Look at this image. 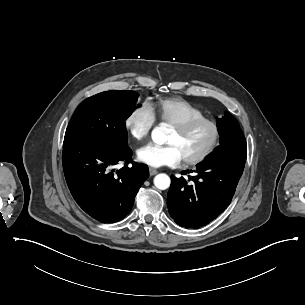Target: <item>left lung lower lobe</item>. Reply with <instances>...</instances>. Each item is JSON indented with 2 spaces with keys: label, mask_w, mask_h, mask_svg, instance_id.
<instances>
[{
  "label": "left lung lower lobe",
  "mask_w": 305,
  "mask_h": 305,
  "mask_svg": "<svg viewBox=\"0 0 305 305\" xmlns=\"http://www.w3.org/2000/svg\"><path fill=\"white\" fill-rule=\"evenodd\" d=\"M245 161L246 156L239 155L210 157L197 166L194 176L188 175L189 180L172 176L167 195L170 216L185 228L211 222L230 204Z\"/></svg>",
  "instance_id": "left-lung-lower-lobe-1"
}]
</instances>
